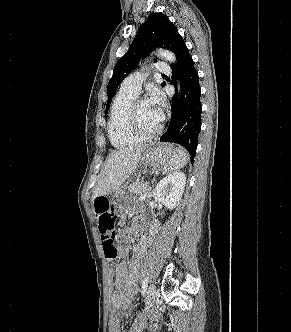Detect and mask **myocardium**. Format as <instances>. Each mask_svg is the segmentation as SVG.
Instances as JSON below:
<instances>
[{
	"instance_id": "f54148a6",
	"label": "myocardium",
	"mask_w": 291,
	"mask_h": 332,
	"mask_svg": "<svg viewBox=\"0 0 291 332\" xmlns=\"http://www.w3.org/2000/svg\"><path fill=\"white\" fill-rule=\"evenodd\" d=\"M147 99L144 97H135L134 100L131 102L128 112V126L130 131L137 137L143 139H149L157 136L164 127V116L161 114V121L157 128L152 131H145L143 130L138 121V107L139 104Z\"/></svg>"
}]
</instances>
